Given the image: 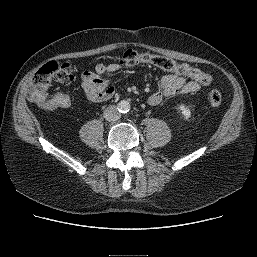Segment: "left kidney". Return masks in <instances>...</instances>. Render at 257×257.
<instances>
[{"label":"left kidney","mask_w":257,"mask_h":257,"mask_svg":"<svg viewBox=\"0 0 257 257\" xmlns=\"http://www.w3.org/2000/svg\"><path fill=\"white\" fill-rule=\"evenodd\" d=\"M178 109L181 111V114L184 118L188 119L191 117V111L187 107H185L183 104L178 106Z\"/></svg>","instance_id":"left-kidney-1"}]
</instances>
